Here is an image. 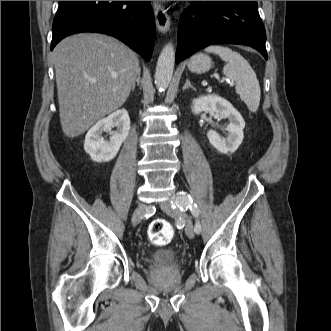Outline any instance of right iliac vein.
Instances as JSON below:
<instances>
[{
  "label": "right iliac vein",
  "instance_id": "right-iliac-vein-1",
  "mask_svg": "<svg viewBox=\"0 0 331 331\" xmlns=\"http://www.w3.org/2000/svg\"><path fill=\"white\" fill-rule=\"evenodd\" d=\"M145 210V204L139 203L138 207L136 208L133 217H132V224L135 226L140 222L141 217L143 216Z\"/></svg>",
  "mask_w": 331,
  "mask_h": 331
}]
</instances>
